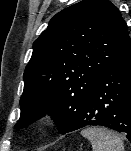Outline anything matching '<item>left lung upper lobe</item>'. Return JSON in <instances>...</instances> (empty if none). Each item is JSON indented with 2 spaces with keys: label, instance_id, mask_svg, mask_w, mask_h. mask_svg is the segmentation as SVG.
Instances as JSON below:
<instances>
[{
  "label": "left lung upper lobe",
  "instance_id": "5c2ea615",
  "mask_svg": "<svg viewBox=\"0 0 131 151\" xmlns=\"http://www.w3.org/2000/svg\"><path fill=\"white\" fill-rule=\"evenodd\" d=\"M130 50L127 25L108 0H83L57 13L33 44L15 127L49 113L65 134L101 73Z\"/></svg>",
  "mask_w": 131,
  "mask_h": 151
}]
</instances>
